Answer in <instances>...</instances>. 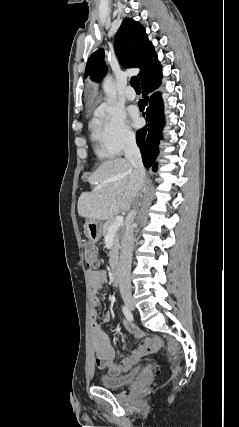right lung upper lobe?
<instances>
[{
  "label": "right lung upper lobe",
  "mask_w": 239,
  "mask_h": 427,
  "mask_svg": "<svg viewBox=\"0 0 239 427\" xmlns=\"http://www.w3.org/2000/svg\"><path fill=\"white\" fill-rule=\"evenodd\" d=\"M115 52L120 63L127 68L138 67L141 83L161 73L152 43L140 23L131 18L125 19L115 35ZM104 51L99 49L87 61L85 76L91 75L96 81L106 73Z\"/></svg>",
  "instance_id": "1"
}]
</instances>
